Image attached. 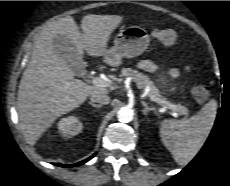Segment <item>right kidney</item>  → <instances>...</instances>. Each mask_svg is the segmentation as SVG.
Masks as SVG:
<instances>
[{
  "instance_id": "ca27d5eb",
  "label": "right kidney",
  "mask_w": 230,
  "mask_h": 186,
  "mask_svg": "<svg viewBox=\"0 0 230 186\" xmlns=\"http://www.w3.org/2000/svg\"><path fill=\"white\" fill-rule=\"evenodd\" d=\"M83 124L79 118L75 116H70L67 118H62L58 123V130L64 137H72L77 135L82 131Z\"/></svg>"
}]
</instances>
